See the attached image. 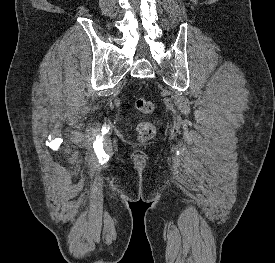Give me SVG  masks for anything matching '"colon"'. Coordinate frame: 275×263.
<instances>
[{"mask_svg":"<svg viewBox=\"0 0 275 263\" xmlns=\"http://www.w3.org/2000/svg\"><path fill=\"white\" fill-rule=\"evenodd\" d=\"M135 106L141 114H150L154 111V103L144 97L137 98ZM136 132L142 141H147L154 136L155 127L148 121H140L136 126Z\"/></svg>","mask_w":275,"mask_h":263,"instance_id":"obj_1","label":"colon"}]
</instances>
